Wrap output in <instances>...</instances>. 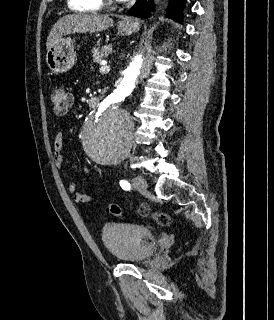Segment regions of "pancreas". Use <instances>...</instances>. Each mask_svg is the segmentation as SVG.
I'll list each match as a JSON object with an SVG mask.
<instances>
[{
	"label": "pancreas",
	"mask_w": 274,
	"mask_h": 320,
	"mask_svg": "<svg viewBox=\"0 0 274 320\" xmlns=\"http://www.w3.org/2000/svg\"><path fill=\"white\" fill-rule=\"evenodd\" d=\"M110 52H112V46H102V48H93V62H99V60L107 58Z\"/></svg>",
	"instance_id": "pancreas-1"
}]
</instances>
